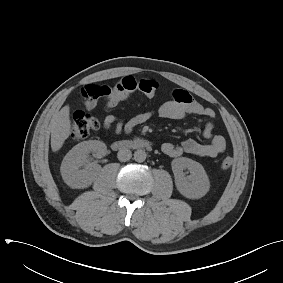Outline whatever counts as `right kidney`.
I'll return each mask as SVG.
<instances>
[{
    "label": "right kidney",
    "instance_id": "ca27d5eb",
    "mask_svg": "<svg viewBox=\"0 0 283 283\" xmlns=\"http://www.w3.org/2000/svg\"><path fill=\"white\" fill-rule=\"evenodd\" d=\"M106 152V145L96 140L84 141L74 146L61 164L60 171L64 182L74 189L90 186L94 180L97 165L90 161L88 155L92 153L95 158H102Z\"/></svg>",
    "mask_w": 283,
    "mask_h": 283
}]
</instances>
